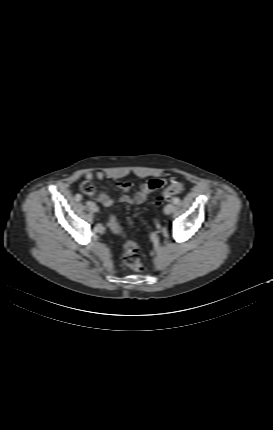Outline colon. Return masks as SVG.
I'll use <instances>...</instances> for the list:
<instances>
[{
    "instance_id": "colon-1",
    "label": "colon",
    "mask_w": 273,
    "mask_h": 430,
    "mask_svg": "<svg viewBox=\"0 0 273 430\" xmlns=\"http://www.w3.org/2000/svg\"><path fill=\"white\" fill-rule=\"evenodd\" d=\"M81 189L84 193L91 194L94 190V185L89 181H85L81 185ZM182 189H183V184L177 180H173L171 184L163 190L158 200L159 201L170 200L171 198L179 194L182 191ZM109 226L114 233L121 236H126V232L120 226L117 219L113 215H111L109 218ZM123 249H124V253H123L124 263L134 270H137V271L143 270V264L138 254V245L134 241L128 239L125 242Z\"/></svg>"
}]
</instances>
